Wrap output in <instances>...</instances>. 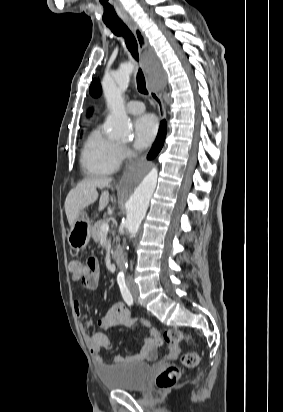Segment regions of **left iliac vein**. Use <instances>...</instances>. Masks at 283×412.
I'll return each instance as SVG.
<instances>
[{
	"instance_id": "obj_1",
	"label": "left iliac vein",
	"mask_w": 283,
	"mask_h": 412,
	"mask_svg": "<svg viewBox=\"0 0 283 412\" xmlns=\"http://www.w3.org/2000/svg\"><path fill=\"white\" fill-rule=\"evenodd\" d=\"M132 293H133V297H134L135 302L139 303V297H138L136 289L132 290Z\"/></svg>"
}]
</instances>
